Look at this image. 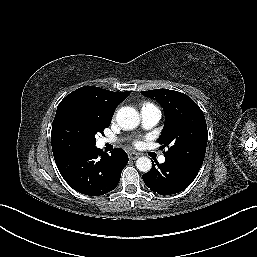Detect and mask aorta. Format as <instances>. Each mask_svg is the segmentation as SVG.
Listing matches in <instances>:
<instances>
[{
    "mask_svg": "<svg viewBox=\"0 0 257 257\" xmlns=\"http://www.w3.org/2000/svg\"><path fill=\"white\" fill-rule=\"evenodd\" d=\"M118 125L124 130H131L139 125V113L132 107H122L116 115ZM136 167L141 172H148L152 167V162L147 157H140L136 161Z\"/></svg>",
    "mask_w": 257,
    "mask_h": 257,
    "instance_id": "762f6f07",
    "label": "aorta"
}]
</instances>
